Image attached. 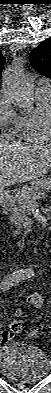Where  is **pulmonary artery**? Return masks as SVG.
Here are the masks:
<instances>
[{"mask_svg":"<svg viewBox=\"0 0 51 393\" xmlns=\"http://www.w3.org/2000/svg\"><path fill=\"white\" fill-rule=\"evenodd\" d=\"M37 87L44 88V89H50L51 85L48 80L41 78L37 82Z\"/></svg>","mask_w":51,"mask_h":393,"instance_id":"obj_1","label":"pulmonary artery"}]
</instances>
